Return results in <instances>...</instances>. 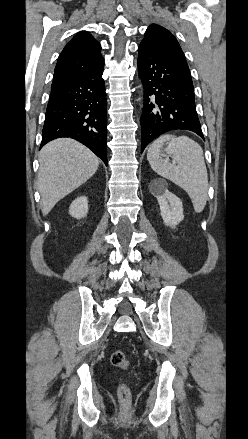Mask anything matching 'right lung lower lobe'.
<instances>
[{"label":"right lung lower lobe","mask_w":248,"mask_h":439,"mask_svg":"<svg viewBox=\"0 0 248 439\" xmlns=\"http://www.w3.org/2000/svg\"><path fill=\"white\" fill-rule=\"evenodd\" d=\"M103 67L104 62L52 87L41 147L53 139L70 137L86 145L107 165V100Z\"/></svg>","instance_id":"obj_1"}]
</instances>
